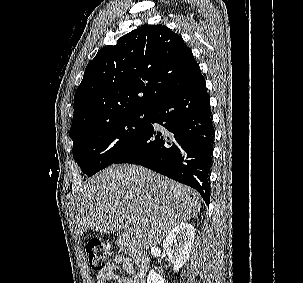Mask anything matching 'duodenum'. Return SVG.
Returning <instances> with one entry per match:
<instances>
[{
	"label": "duodenum",
	"mask_w": 303,
	"mask_h": 283,
	"mask_svg": "<svg viewBox=\"0 0 303 283\" xmlns=\"http://www.w3.org/2000/svg\"><path fill=\"white\" fill-rule=\"evenodd\" d=\"M120 244H121L123 249H125V250H127L128 252L131 253V256L136 261L137 266L139 268L140 278L142 279V281H144L146 273H147L148 268H149V264H150V260H149L148 255L145 252L141 251V250L133 249L127 243L125 235L121 236Z\"/></svg>",
	"instance_id": "1"
}]
</instances>
